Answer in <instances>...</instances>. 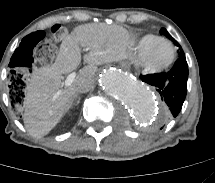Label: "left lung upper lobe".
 I'll use <instances>...</instances> for the list:
<instances>
[{
    "label": "left lung upper lobe",
    "mask_w": 215,
    "mask_h": 183,
    "mask_svg": "<svg viewBox=\"0 0 215 183\" xmlns=\"http://www.w3.org/2000/svg\"><path fill=\"white\" fill-rule=\"evenodd\" d=\"M161 33L163 35L167 36L169 39H171L179 47V51H178L179 57H182V56L185 55L184 52H183V50H182V48H181V46L177 43V41L175 39H173L171 37V35L167 32L166 29L162 28Z\"/></svg>",
    "instance_id": "obj_1"
}]
</instances>
